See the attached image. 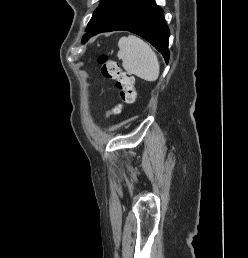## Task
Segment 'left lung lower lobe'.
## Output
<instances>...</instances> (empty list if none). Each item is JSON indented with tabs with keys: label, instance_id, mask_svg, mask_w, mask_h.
Here are the masks:
<instances>
[{
	"label": "left lung lower lobe",
	"instance_id": "0a47b994",
	"mask_svg": "<svg viewBox=\"0 0 248 258\" xmlns=\"http://www.w3.org/2000/svg\"><path fill=\"white\" fill-rule=\"evenodd\" d=\"M125 30L135 33L152 44L169 60V28L164 19V11L154 0H129L103 22L93 27L83 36V42L101 32Z\"/></svg>",
	"mask_w": 248,
	"mask_h": 258
}]
</instances>
